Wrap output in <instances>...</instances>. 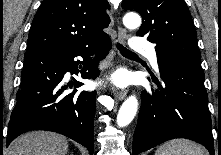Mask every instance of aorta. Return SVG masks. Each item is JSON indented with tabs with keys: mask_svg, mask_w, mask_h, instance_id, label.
Listing matches in <instances>:
<instances>
[{
	"mask_svg": "<svg viewBox=\"0 0 221 155\" xmlns=\"http://www.w3.org/2000/svg\"><path fill=\"white\" fill-rule=\"evenodd\" d=\"M125 27L136 29L141 25V17L134 12L127 13L123 18ZM138 107V100L135 95L129 96L121 105L117 115V125L119 127L127 126L135 117Z\"/></svg>",
	"mask_w": 221,
	"mask_h": 155,
	"instance_id": "762f6f07",
	"label": "aorta"
}]
</instances>
